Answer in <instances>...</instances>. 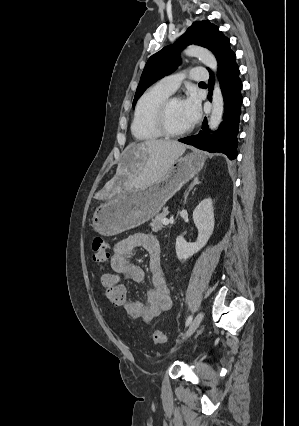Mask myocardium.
I'll list each match as a JSON object with an SVG mask.
<instances>
[{
    "instance_id": "f54148a6",
    "label": "myocardium",
    "mask_w": 299,
    "mask_h": 426,
    "mask_svg": "<svg viewBox=\"0 0 299 426\" xmlns=\"http://www.w3.org/2000/svg\"><path fill=\"white\" fill-rule=\"evenodd\" d=\"M174 101H181V98L178 96H168L166 99H164L160 105L158 106L155 116H154V124L156 129L162 134V136L165 137H179L182 135H185L189 133L192 129V125L190 124L186 128L178 131H174L169 128L167 123V115L168 110L171 106V104Z\"/></svg>"
}]
</instances>
